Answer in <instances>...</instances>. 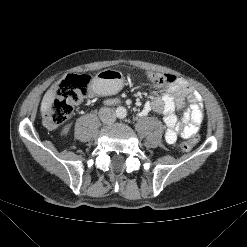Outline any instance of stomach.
<instances>
[{
    "label": "stomach",
    "instance_id": "obj_1",
    "mask_svg": "<svg viewBox=\"0 0 247 247\" xmlns=\"http://www.w3.org/2000/svg\"><path fill=\"white\" fill-rule=\"evenodd\" d=\"M123 76L115 70H103L99 72L94 79V84L99 93H114L120 90L123 86Z\"/></svg>",
    "mask_w": 247,
    "mask_h": 247
}]
</instances>
